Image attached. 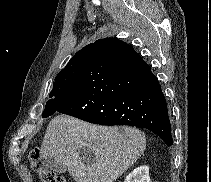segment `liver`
<instances>
[{"label": "liver", "instance_id": "6515ba94", "mask_svg": "<svg viewBox=\"0 0 211 182\" xmlns=\"http://www.w3.org/2000/svg\"><path fill=\"white\" fill-rule=\"evenodd\" d=\"M84 147L94 154L93 160L81 157ZM145 148V134L137 128L97 126L58 115L48 124L40 154L59 160L76 182H113Z\"/></svg>", "mask_w": 211, "mask_h": 182}]
</instances>
